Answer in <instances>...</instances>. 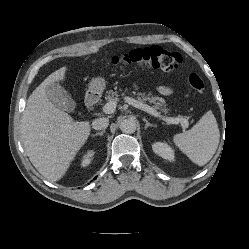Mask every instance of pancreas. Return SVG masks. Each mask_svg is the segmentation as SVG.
I'll use <instances>...</instances> for the list:
<instances>
[{"label":"pancreas","instance_id":"1","mask_svg":"<svg viewBox=\"0 0 249 249\" xmlns=\"http://www.w3.org/2000/svg\"><path fill=\"white\" fill-rule=\"evenodd\" d=\"M118 97V93L117 91H113V90H109L107 91V95L105 96V99L108 101H113V100H117ZM148 100L150 103L153 104V108L155 110H159L163 113H167L168 112V108H166V104H165V100L163 98H160L158 96H143L142 97V101H146Z\"/></svg>","mask_w":249,"mask_h":249}]
</instances>
